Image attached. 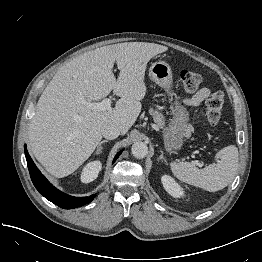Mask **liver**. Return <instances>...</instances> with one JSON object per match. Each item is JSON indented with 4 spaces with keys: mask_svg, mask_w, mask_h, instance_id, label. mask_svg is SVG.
I'll list each match as a JSON object with an SVG mask.
<instances>
[{
    "mask_svg": "<svg viewBox=\"0 0 262 262\" xmlns=\"http://www.w3.org/2000/svg\"><path fill=\"white\" fill-rule=\"evenodd\" d=\"M167 50L147 42L103 46L57 71L38 100L28 132L30 149L49 174L62 178L77 170L99 146L104 125L115 124L121 134L127 133L146 95L147 63ZM115 61L120 70L117 80L112 72ZM112 90L120 99L110 110L81 103H96Z\"/></svg>",
    "mask_w": 262,
    "mask_h": 262,
    "instance_id": "liver-1",
    "label": "liver"
}]
</instances>
